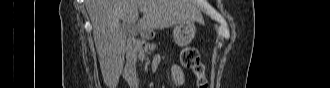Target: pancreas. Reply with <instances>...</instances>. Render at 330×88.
<instances>
[{
    "mask_svg": "<svg viewBox=\"0 0 330 88\" xmlns=\"http://www.w3.org/2000/svg\"><path fill=\"white\" fill-rule=\"evenodd\" d=\"M156 48V45L155 44H147L145 46V48L141 51V54H140V58H143L145 60H148V58L146 57V54H150L152 53Z\"/></svg>",
    "mask_w": 330,
    "mask_h": 88,
    "instance_id": "pancreas-1",
    "label": "pancreas"
}]
</instances>
